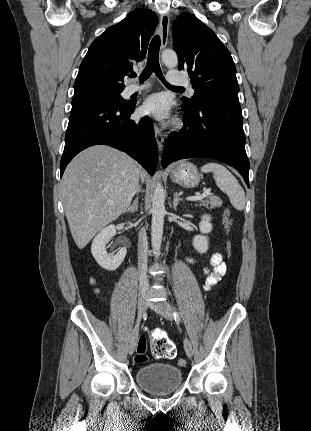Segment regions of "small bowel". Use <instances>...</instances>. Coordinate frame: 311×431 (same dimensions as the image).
Here are the masks:
<instances>
[{
	"label": "small bowel",
	"instance_id": "c3829d8e",
	"mask_svg": "<svg viewBox=\"0 0 311 431\" xmlns=\"http://www.w3.org/2000/svg\"><path fill=\"white\" fill-rule=\"evenodd\" d=\"M203 272L206 276L205 288L208 289L215 285L226 272V265L223 262L222 255L220 253H214L210 257V267L205 268ZM159 335L166 337V334L160 330L153 331L151 336L152 339H154Z\"/></svg>",
	"mask_w": 311,
	"mask_h": 431
}]
</instances>
